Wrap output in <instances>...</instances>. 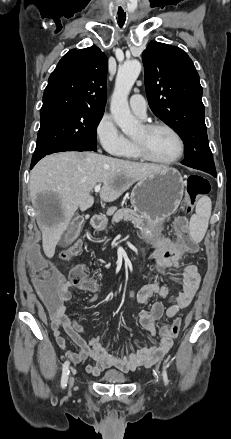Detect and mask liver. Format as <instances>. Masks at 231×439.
I'll use <instances>...</instances> for the list:
<instances>
[{
	"label": "liver",
	"mask_w": 231,
	"mask_h": 439,
	"mask_svg": "<svg viewBox=\"0 0 231 439\" xmlns=\"http://www.w3.org/2000/svg\"><path fill=\"white\" fill-rule=\"evenodd\" d=\"M164 168L93 152H61L43 158L30 173L29 190L34 203L40 195H53L58 203V208L47 216L37 212L45 255L54 256L75 211H85L93 205L91 191L96 185L103 184L100 198L113 202L135 182Z\"/></svg>",
	"instance_id": "liver-1"
}]
</instances>
